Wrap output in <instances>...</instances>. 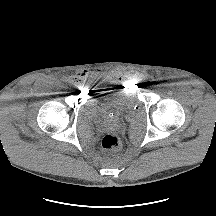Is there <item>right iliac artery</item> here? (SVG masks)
<instances>
[{
  "label": "right iliac artery",
  "instance_id": "right-iliac-artery-1",
  "mask_svg": "<svg viewBox=\"0 0 216 216\" xmlns=\"http://www.w3.org/2000/svg\"><path fill=\"white\" fill-rule=\"evenodd\" d=\"M64 84H67L68 86H70L72 83L69 81V79H64Z\"/></svg>",
  "mask_w": 216,
  "mask_h": 216
}]
</instances>
